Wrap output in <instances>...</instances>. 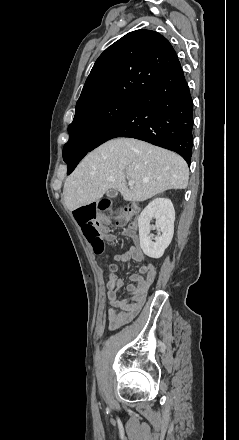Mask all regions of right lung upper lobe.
<instances>
[{
    "mask_svg": "<svg viewBox=\"0 0 239 440\" xmlns=\"http://www.w3.org/2000/svg\"><path fill=\"white\" fill-rule=\"evenodd\" d=\"M179 63L169 41L150 30L130 32L95 62L76 104V113L104 100L142 95Z\"/></svg>",
    "mask_w": 239,
    "mask_h": 440,
    "instance_id": "1",
    "label": "right lung upper lobe"
}]
</instances>
